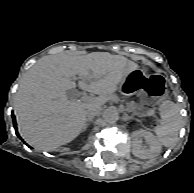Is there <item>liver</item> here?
Segmentation results:
<instances>
[{
    "label": "liver",
    "mask_w": 194,
    "mask_h": 193,
    "mask_svg": "<svg viewBox=\"0 0 194 193\" xmlns=\"http://www.w3.org/2000/svg\"><path fill=\"white\" fill-rule=\"evenodd\" d=\"M139 69L121 55L92 52L40 58L21 78L14 111L22 138L32 147L57 151L73 141L86 125V111L100 110L124 82ZM79 87L98 97L69 99L67 91Z\"/></svg>",
    "instance_id": "1"
}]
</instances>
